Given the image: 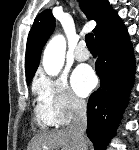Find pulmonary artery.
Here are the masks:
<instances>
[{
	"label": "pulmonary artery",
	"mask_w": 139,
	"mask_h": 150,
	"mask_svg": "<svg viewBox=\"0 0 139 150\" xmlns=\"http://www.w3.org/2000/svg\"><path fill=\"white\" fill-rule=\"evenodd\" d=\"M74 57L77 61H86L90 57V52L86 48L85 43L82 41L79 43L77 46L75 52H74Z\"/></svg>",
	"instance_id": "e3ab8cb5"
}]
</instances>
